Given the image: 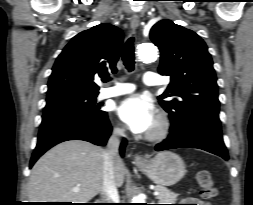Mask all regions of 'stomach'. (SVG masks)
Returning a JSON list of instances; mask_svg holds the SVG:
<instances>
[{
  "mask_svg": "<svg viewBox=\"0 0 253 205\" xmlns=\"http://www.w3.org/2000/svg\"><path fill=\"white\" fill-rule=\"evenodd\" d=\"M153 182L161 186H171L186 173L182 158L171 151L158 153L146 163L138 165Z\"/></svg>",
  "mask_w": 253,
  "mask_h": 205,
  "instance_id": "stomach-1",
  "label": "stomach"
}]
</instances>
